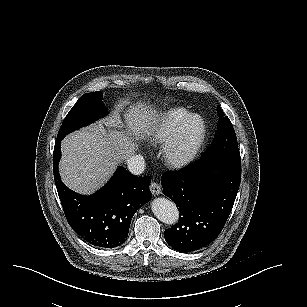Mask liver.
Listing matches in <instances>:
<instances>
[{
  "mask_svg": "<svg viewBox=\"0 0 307 307\" xmlns=\"http://www.w3.org/2000/svg\"><path fill=\"white\" fill-rule=\"evenodd\" d=\"M124 100L116 105L120 112L129 105ZM162 113L137 102L124 111V123L105 128L101 122L67 135L61 141L62 158L59 172L71 190L90 195L104 185L118 164L126 162L138 149L136 141L154 131Z\"/></svg>",
  "mask_w": 307,
  "mask_h": 307,
  "instance_id": "obj_1",
  "label": "liver"
}]
</instances>
